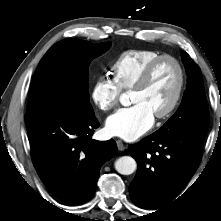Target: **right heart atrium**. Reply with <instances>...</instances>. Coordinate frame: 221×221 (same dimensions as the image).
Instances as JSON below:
<instances>
[{"instance_id":"right-heart-atrium-1","label":"right heart atrium","mask_w":221,"mask_h":221,"mask_svg":"<svg viewBox=\"0 0 221 221\" xmlns=\"http://www.w3.org/2000/svg\"><path fill=\"white\" fill-rule=\"evenodd\" d=\"M121 90L108 77L101 76L93 84L90 97L93 104L102 112L114 110L120 100Z\"/></svg>"}]
</instances>
